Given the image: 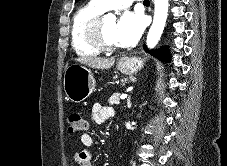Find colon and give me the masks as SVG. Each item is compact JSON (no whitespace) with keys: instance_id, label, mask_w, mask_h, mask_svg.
Instances as JSON below:
<instances>
[{"instance_id":"1","label":"colon","mask_w":227,"mask_h":166,"mask_svg":"<svg viewBox=\"0 0 227 166\" xmlns=\"http://www.w3.org/2000/svg\"><path fill=\"white\" fill-rule=\"evenodd\" d=\"M68 132L69 134H76L84 131L87 127V123L80 113L72 112L67 118Z\"/></svg>"}]
</instances>
